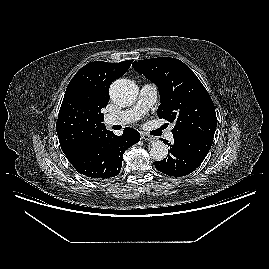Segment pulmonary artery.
I'll return each mask as SVG.
<instances>
[{"instance_id":"pulmonary-artery-1","label":"pulmonary artery","mask_w":269,"mask_h":269,"mask_svg":"<svg viewBox=\"0 0 269 269\" xmlns=\"http://www.w3.org/2000/svg\"><path fill=\"white\" fill-rule=\"evenodd\" d=\"M157 93L158 90L156 85H143L137 103L128 110L106 115L104 118L105 124L107 126L127 125L137 121L153 106L157 98ZM166 138L172 140L173 134L171 131L167 132Z\"/></svg>"}]
</instances>
